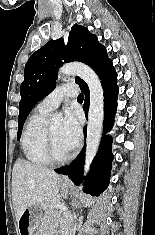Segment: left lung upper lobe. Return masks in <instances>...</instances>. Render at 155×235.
<instances>
[{"label":"left lung upper lobe","mask_w":155,"mask_h":235,"mask_svg":"<svg viewBox=\"0 0 155 235\" xmlns=\"http://www.w3.org/2000/svg\"><path fill=\"white\" fill-rule=\"evenodd\" d=\"M71 61L86 63L97 75L111 62L106 48L99 44L97 37L78 24L72 26L67 45L60 38L49 41L35 51L25 65V78L20 87L18 139L21 136L23 124L34 105L56 87L57 69L63 62ZM75 82L80 88L87 85L79 77L75 78Z\"/></svg>","instance_id":"left-lung-upper-lobe-1"}]
</instances>
